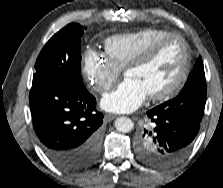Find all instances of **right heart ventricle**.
Returning a JSON list of instances; mask_svg holds the SVG:
<instances>
[{
    "label": "right heart ventricle",
    "mask_w": 223,
    "mask_h": 188,
    "mask_svg": "<svg viewBox=\"0 0 223 188\" xmlns=\"http://www.w3.org/2000/svg\"><path fill=\"white\" fill-rule=\"evenodd\" d=\"M167 33V30L149 27L114 35L105 41V52L119 68H125L136 54Z\"/></svg>",
    "instance_id": "right-heart-ventricle-1"
}]
</instances>
